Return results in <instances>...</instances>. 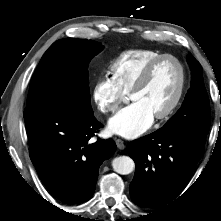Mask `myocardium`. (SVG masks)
Wrapping results in <instances>:
<instances>
[{
    "label": "myocardium",
    "mask_w": 221,
    "mask_h": 221,
    "mask_svg": "<svg viewBox=\"0 0 221 221\" xmlns=\"http://www.w3.org/2000/svg\"><path fill=\"white\" fill-rule=\"evenodd\" d=\"M165 60H172L176 63V65L179 68L180 78H179L178 88H177V91L175 93L173 100L163 112L156 114L154 116L156 120H164L170 117L175 112V110L177 109V107L179 106L182 100L185 86H186V71H185V67L183 63L176 56L171 55V54H163L153 59L143 69V71L141 72V74L139 75V77L137 78L136 82L134 83V85L132 86L129 92V95L131 96L137 91L141 90L148 83L154 69Z\"/></svg>",
    "instance_id": "myocardium-1"
}]
</instances>
